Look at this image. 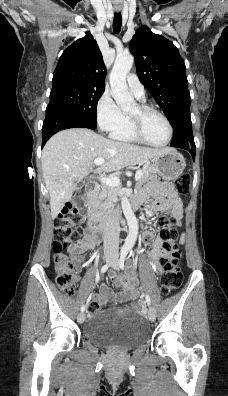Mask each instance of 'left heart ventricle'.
<instances>
[{
	"label": "left heart ventricle",
	"instance_id": "left-heart-ventricle-1",
	"mask_svg": "<svg viewBox=\"0 0 228 396\" xmlns=\"http://www.w3.org/2000/svg\"><path fill=\"white\" fill-rule=\"evenodd\" d=\"M130 115H138L137 105L130 111ZM142 129L148 141L154 144L164 143L168 138V129L164 120L155 113H148L141 117Z\"/></svg>",
	"mask_w": 228,
	"mask_h": 396
}]
</instances>
